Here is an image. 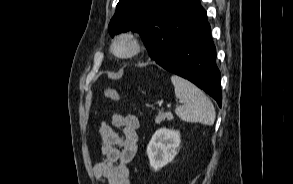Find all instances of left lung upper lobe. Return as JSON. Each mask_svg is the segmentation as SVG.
<instances>
[{"mask_svg": "<svg viewBox=\"0 0 293 184\" xmlns=\"http://www.w3.org/2000/svg\"><path fill=\"white\" fill-rule=\"evenodd\" d=\"M183 0H120L109 24V33L129 30L138 32L151 57L159 52V46L170 26L173 11Z\"/></svg>", "mask_w": 293, "mask_h": 184, "instance_id": "obj_1", "label": "left lung upper lobe"}]
</instances>
